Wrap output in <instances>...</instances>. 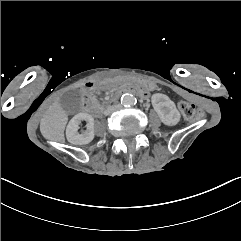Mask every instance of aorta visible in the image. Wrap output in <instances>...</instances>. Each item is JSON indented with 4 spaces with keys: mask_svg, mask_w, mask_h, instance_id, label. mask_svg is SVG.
<instances>
[{
    "mask_svg": "<svg viewBox=\"0 0 241 241\" xmlns=\"http://www.w3.org/2000/svg\"><path fill=\"white\" fill-rule=\"evenodd\" d=\"M121 103L124 105V106H132L136 103V98L131 95V94H124L122 97H121Z\"/></svg>",
    "mask_w": 241,
    "mask_h": 241,
    "instance_id": "obj_1",
    "label": "aorta"
}]
</instances>
